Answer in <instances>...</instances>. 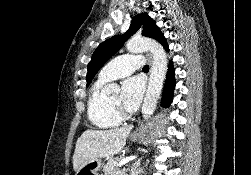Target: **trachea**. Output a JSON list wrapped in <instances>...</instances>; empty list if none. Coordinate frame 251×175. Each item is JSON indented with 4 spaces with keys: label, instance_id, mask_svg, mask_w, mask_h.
I'll return each mask as SVG.
<instances>
[{
    "label": "trachea",
    "instance_id": "3493384b",
    "mask_svg": "<svg viewBox=\"0 0 251 175\" xmlns=\"http://www.w3.org/2000/svg\"><path fill=\"white\" fill-rule=\"evenodd\" d=\"M143 70L148 71L149 70V66L148 65H144Z\"/></svg>",
    "mask_w": 251,
    "mask_h": 175
}]
</instances>
